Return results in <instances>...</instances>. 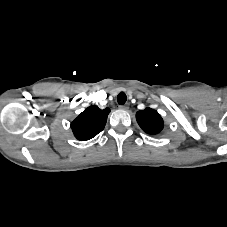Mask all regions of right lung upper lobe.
<instances>
[{
    "instance_id": "1",
    "label": "right lung upper lobe",
    "mask_w": 227,
    "mask_h": 227,
    "mask_svg": "<svg viewBox=\"0 0 227 227\" xmlns=\"http://www.w3.org/2000/svg\"><path fill=\"white\" fill-rule=\"evenodd\" d=\"M109 112V108L101 110L97 106H90L85 109L71 123L75 137L80 141L95 137L104 129Z\"/></svg>"
}]
</instances>
